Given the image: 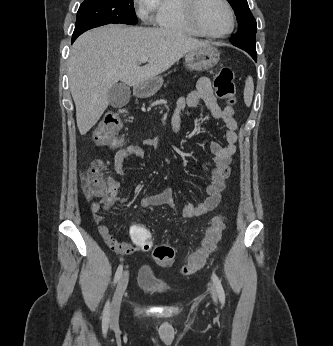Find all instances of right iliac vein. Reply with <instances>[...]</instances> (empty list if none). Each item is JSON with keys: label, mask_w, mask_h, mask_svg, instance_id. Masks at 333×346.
<instances>
[{"label": "right iliac vein", "mask_w": 333, "mask_h": 346, "mask_svg": "<svg viewBox=\"0 0 333 346\" xmlns=\"http://www.w3.org/2000/svg\"><path fill=\"white\" fill-rule=\"evenodd\" d=\"M127 285H128V272H125L121 276L113 296L111 309H110V321L112 324L116 323V321L118 320L122 298L126 291Z\"/></svg>", "instance_id": "right-iliac-vein-1"}]
</instances>
